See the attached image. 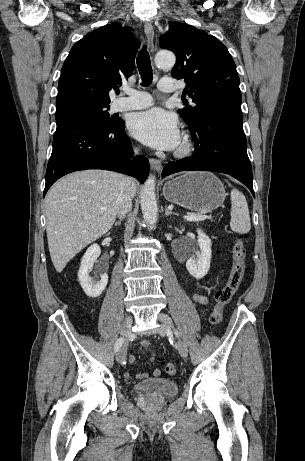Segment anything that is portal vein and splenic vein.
Listing matches in <instances>:
<instances>
[{"mask_svg":"<svg viewBox=\"0 0 305 461\" xmlns=\"http://www.w3.org/2000/svg\"><path fill=\"white\" fill-rule=\"evenodd\" d=\"M184 219L187 221H202L207 219V215L200 213V214H194L191 216H184Z\"/></svg>","mask_w":305,"mask_h":461,"instance_id":"1","label":"portal vein and splenic vein"}]
</instances>
